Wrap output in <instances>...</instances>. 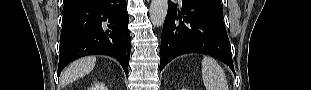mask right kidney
Wrapping results in <instances>:
<instances>
[{
  "label": "right kidney",
  "instance_id": "ca27d5eb",
  "mask_svg": "<svg viewBox=\"0 0 311 90\" xmlns=\"http://www.w3.org/2000/svg\"><path fill=\"white\" fill-rule=\"evenodd\" d=\"M90 90H106V87L103 83H100L90 88Z\"/></svg>",
  "mask_w": 311,
  "mask_h": 90
}]
</instances>
